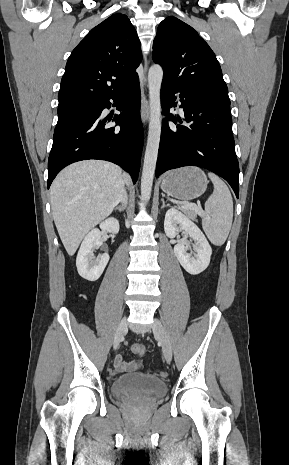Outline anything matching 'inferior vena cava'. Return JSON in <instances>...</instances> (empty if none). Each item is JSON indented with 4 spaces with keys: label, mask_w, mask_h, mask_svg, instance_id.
<instances>
[{
    "label": "inferior vena cava",
    "mask_w": 289,
    "mask_h": 465,
    "mask_svg": "<svg viewBox=\"0 0 289 465\" xmlns=\"http://www.w3.org/2000/svg\"><path fill=\"white\" fill-rule=\"evenodd\" d=\"M118 202H121L122 205L127 204V193H126V190L124 188V183H122V185L120 187V190H119V193H118Z\"/></svg>",
    "instance_id": "inferior-vena-cava-1"
}]
</instances>
